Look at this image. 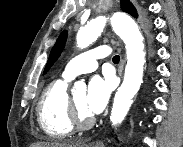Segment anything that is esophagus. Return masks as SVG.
Wrapping results in <instances>:
<instances>
[{
  "mask_svg": "<svg viewBox=\"0 0 183 147\" xmlns=\"http://www.w3.org/2000/svg\"><path fill=\"white\" fill-rule=\"evenodd\" d=\"M101 145H102V142L100 140H98L94 143V146H96V147L101 146Z\"/></svg>",
  "mask_w": 183,
  "mask_h": 147,
  "instance_id": "1",
  "label": "esophagus"
}]
</instances>
